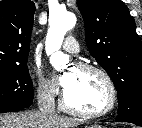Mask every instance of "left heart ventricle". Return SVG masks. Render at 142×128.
I'll list each match as a JSON object with an SVG mask.
<instances>
[{
	"instance_id": "left-heart-ventricle-1",
	"label": "left heart ventricle",
	"mask_w": 142,
	"mask_h": 128,
	"mask_svg": "<svg viewBox=\"0 0 142 128\" xmlns=\"http://www.w3.org/2000/svg\"><path fill=\"white\" fill-rule=\"evenodd\" d=\"M71 86L65 90L66 102L77 109L95 112L103 110L109 103L110 92L103 77L95 72L72 68Z\"/></svg>"
}]
</instances>
